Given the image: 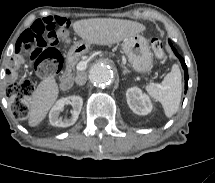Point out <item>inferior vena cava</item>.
<instances>
[{
  "label": "inferior vena cava",
  "mask_w": 215,
  "mask_h": 183,
  "mask_svg": "<svg viewBox=\"0 0 215 183\" xmlns=\"http://www.w3.org/2000/svg\"><path fill=\"white\" fill-rule=\"evenodd\" d=\"M87 81V74L86 73H80L76 76L75 82L77 85H84Z\"/></svg>",
  "instance_id": "1"
}]
</instances>
